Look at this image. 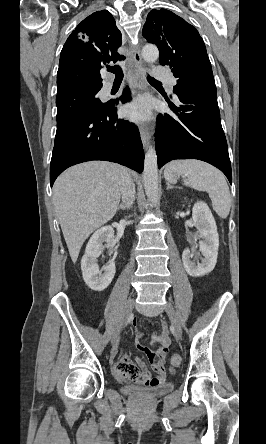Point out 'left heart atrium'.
Segmentation results:
<instances>
[{
    "mask_svg": "<svg viewBox=\"0 0 266 444\" xmlns=\"http://www.w3.org/2000/svg\"><path fill=\"white\" fill-rule=\"evenodd\" d=\"M125 115L134 121H146L151 117V104L146 97H139L124 107Z\"/></svg>",
    "mask_w": 266,
    "mask_h": 444,
    "instance_id": "obj_1",
    "label": "left heart atrium"
}]
</instances>
